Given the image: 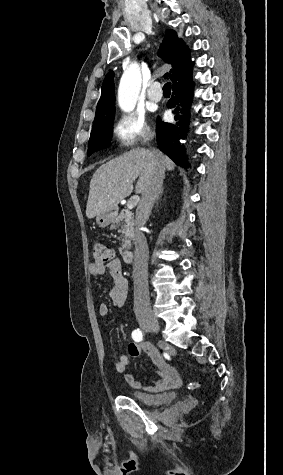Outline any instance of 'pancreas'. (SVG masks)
<instances>
[{"instance_id":"obj_1","label":"pancreas","mask_w":283,"mask_h":475,"mask_svg":"<svg viewBox=\"0 0 283 475\" xmlns=\"http://www.w3.org/2000/svg\"><path fill=\"white\" fill-rule=\"evenodd\" d=\"M113 226L114 228H119V232H122L123 234L121 243L122 247H118V249L122 255H125L131 247V241L135 234L133 214L122 210L121 214L116 218Z\"/></svg>"}]
</instances>
